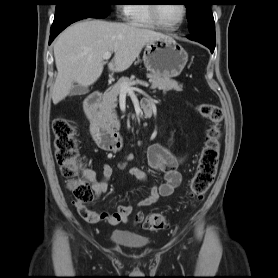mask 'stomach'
<instances>
[{
	"label": "stomach",
	"instance_id": "0dacf381",
	"mask_svg": "<svg viewBox=\"0 0 278 278\" xmlns=\"http://www.w3.org/2000/svg\"><path fill=\"white\" fill-rule=\"evenodd\" d=\"M188 61L184 48L172 37L148 42L143 54L146 69L153 75L177 77Z\"/></svg>",
	"mask_w": 278,
	"mask_h": 278
}]
</instances>
